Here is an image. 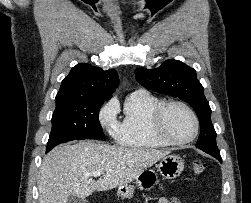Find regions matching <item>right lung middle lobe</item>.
<instances>
[{
	"instance_id": "1",
	"label": "right lung middle lobe",
	"mask_w": 251,
	"mask_h": 203,
	"mask_svg": "<svg viewBox=\"0 0 251 203\" xmlns=\"http://www.w3.org/2000/svg\"><path fill=\"white\" fill-rule=\"evenodd\" d=\"M103 102L76 101L56 106L46 153L66 141L105 138L98 118Z\"/></svg>"
}]
</instances>
